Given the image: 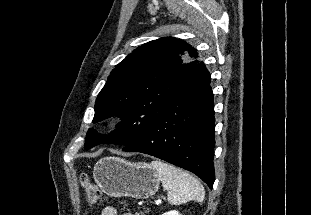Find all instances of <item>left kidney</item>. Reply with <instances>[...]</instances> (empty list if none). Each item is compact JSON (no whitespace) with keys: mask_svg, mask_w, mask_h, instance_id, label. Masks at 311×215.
Here are the masks:
<instances>
[{"mask_svg":"<svg viewBox=\"0 0 311 215\" xmlns=\"http://www.w3.org/2000/svg\"><path fill=\"white\" fill-rule=\"evenodd\" d=\"M162 215H181V214L178 211L173 210V211L166 212Z\"/></svg>","mask_w":311,"mask_h":215,"instance_id":"1","label":"left kidney"}]
</instances>
